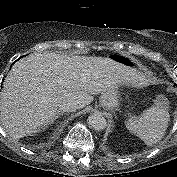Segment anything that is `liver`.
<instances>
[{
    "label": "liver",
    "mask_w": 177,
    "mask_h": 177,
    "mask_svg": "<svg viewBox=\"0 0 177 177\" xmlns=\"http://www.w3.org/2000/svg\"><path fill=\"white\" fill-rule=\"evenodd\" d=\"M143 79L136 69L110 58L32 53L17 61L5 78L2 125L15 140L31 136L54 121L62 102H76L81 109L93 101L92 95Z\"/></svg>",
    "instance_id": "1"
}]
</instances>
